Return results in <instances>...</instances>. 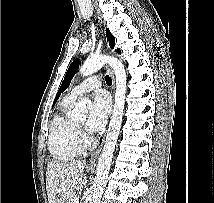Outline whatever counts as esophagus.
<instances>
[{
	"instance_id": "34e87169",
	"label": "esophagus",
	"mask_w": 214,
	"mask_h": 203,
	"mask_svg": "<svg viewBox=\"0 0 214 203\" xmlns=\"http://www.w3.org/2000/svg\"><path fill=\"white\" fill-rule=\"evenodd\" d=\"M108 74L111 76L112 79V91H113V95H114V91H115V77L113 75V71L110 67H106ZM102 146H100L92 155V157L90 158L89 162H88V166L89 167H95V163L98 159V156L101 152Z\"/></svg>"
}]
</instances>
